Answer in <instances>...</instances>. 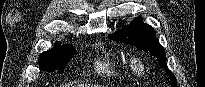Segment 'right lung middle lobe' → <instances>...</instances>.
<instances>
[{
    "label": "right lung middle lobe",
    "mask_w": 205,
    "mask_h": 87,
    "mask_svg": "<svg viewBox=\"0 0 205 87\" xmlns=\"http://www.w3.org/2000/svg\"><path fill=\"white\" fill-rule=\"evenodd\" d=\"M74 56V48L72 46L59 45L39 56L38 64L42 71L62 73L66 64Z\"/></svg>",
    "instance_id": "1"
}]
</instances>
